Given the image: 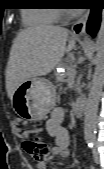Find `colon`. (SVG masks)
Instances as JSON below:
<instances>
[{
	"mask_svg": "<svg viewBox=\"0 0 104 169\" xmlns=\"http://www.w3.org/2000/svg\"><path fill=\"white\" fill-rule=\"evenodd\" d=\"M21 140L23 149L38 162H43L50 153L49 143L42 138L31 132L29 129H23L21 133Z\"/></svg>",
	"mask_w": 104,
	"mask_h": 169,
	"instance_id": "obj_1",
	"label": "colon"
}]
</instances>
